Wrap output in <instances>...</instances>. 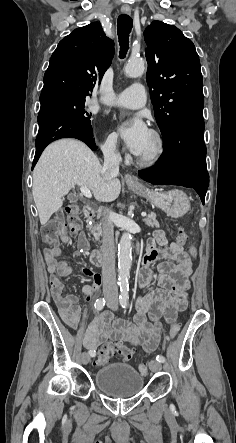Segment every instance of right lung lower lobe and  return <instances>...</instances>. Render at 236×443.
I'll return each mask as SVG.
<instances>
[{
  "label": "right lung lower lobe",
  "mask_w": 236,
  "mask_h": 443,
  "mask_svg": "<svg viewBox=\"0 0 236 443\" xmlns=\"http://www.w3.org/2000/svg\"><path fill=\"white\" fill-rule=\"evenodd\" d=\"M38 124L39 131L35 141L36 153L32 169L44 148L60 138H76L85 142L92 150L97 149L90 123L75 116L59 104H41Z\"/></svg>",
  "instance_id": "1"
}]
</instances>
